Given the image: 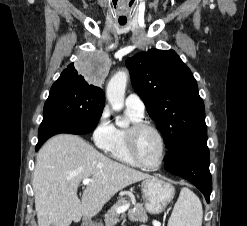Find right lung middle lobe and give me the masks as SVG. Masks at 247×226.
I'll return each instance as SVG.
<instances>
[{
  "label": "right lung middle lobe",
  "mask_w": 247,
  "mask_h": 226,
  "mask_svg": "<svg viewBox=\"0 0 247 226\" xmlns=\"http://www.w3.org/2000/svg\"><path fill=\"white\" fill-rule=\"evenodd\" d=\"M77 70H76V74ZM91 87L82 85L74 77H59L52 85L45 102L43 120L63 119L77 124L97 126L103 112L105 98Z\"/></svg>",
  "instance_id": "right-lung-middle-lobe-1"
}]
</instances>
